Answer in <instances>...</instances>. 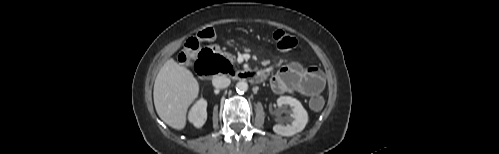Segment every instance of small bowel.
I'll return each mask as SVG.
<instances>
[{
    "instance_id": "obj_1",
    "label": "small bowel",
    "mask_w": 499,
    "mask_h": 154,
    "mask_svg": "<svg viewBox=\"0 0 499 154\" xmlns=\"http://www.w3.org/2000/svg\"><path fill=\"white\" fill-rule=\"evenodd\" d=\"M324 83L323 74L317 68L304 69L297 62L285 65L270 79L275 93L296 91L306 97L318 95L323 90Z\"/></svg>"
}]
</instances>
